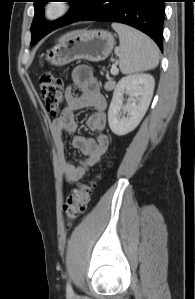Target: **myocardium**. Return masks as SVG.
<instances>
[{"instance_id":"myocardium-1","label":"myocardium","mask_w":195,"mask_h":299,"mask_svg":"<svg viewBox=\"0 0 195 299\" xmlns=\"http://www.w3.org/2000/svg\"><path fill=\"white\" fill-rule=\"evenodd\" d=\"M71 11L68 1H48L42 7V16L46 21L56 22Z\"/></svg>"}]
</instances>
